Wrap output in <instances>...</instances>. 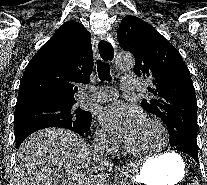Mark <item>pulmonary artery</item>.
Returning <instances> with one entry per match:
<instances>
[{
  "mask_svg": "<svg viewBox=\"0 0 207 185\" xmlns=\"http://www.w3.org/2000/svg\"><path fill=\"white\" fill-rule=\"evenodd\" d=\"M121 82H123V91H136L138 86V81H136V77H121ZM107 89H93L89 91L85 98L88 101L92 102H108L110 100L115 99L118 96V92L116 89L112 87H102Z\"/></svg>",
  "mask_w": 207,
  "mask_h": 185,
  "instance_id": "e3ab8cb5",
  "label": "pulmonary artery"
}]
</instances>
